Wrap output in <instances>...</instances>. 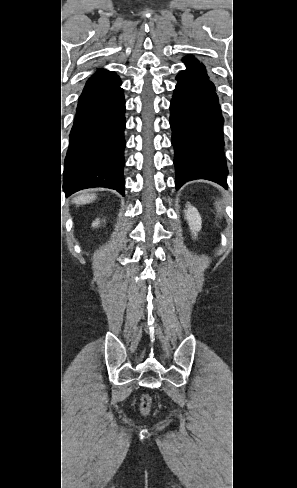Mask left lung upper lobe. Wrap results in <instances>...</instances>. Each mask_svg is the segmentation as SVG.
I'll list each match as a JSON object with an SVG mask.
<instances>
[{"instance_id":"obj_1","label":"left lung upper lobe","mask_w":297,"mask_h":488,"mask_svg":"<svg viewBox=\"0 0 297 488\" xmlns=\"http://www.w3.org/2000/svg\"><path fill=\"white\" fill-rule=\"evenodd\" d=\"M183 62L186 64L188 68L187 70H184L185 72L199 78L201 81L214 88V84L211 81H209V77L206 73L205 66L202 63L196 60L193 56L184 57Z\"/></svg>"}]
</instances>
